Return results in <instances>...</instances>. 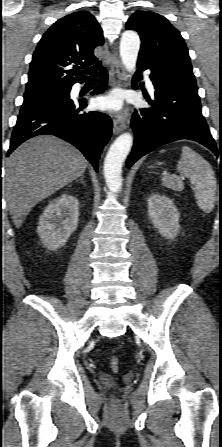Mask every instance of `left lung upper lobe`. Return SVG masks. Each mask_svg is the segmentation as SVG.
Masks as SVG:
<instances>
[{
	"label": "left lung upper lobe",
	"instance_id": "5c2ea615",
	"mask_svg": "<svg viewBox=\"0 0 222 447\" xmlns=\"http://www.w3.org/2000/svg\"><path fill=\"white\" fill-rule=\"evenodd\" d=\"M142 41L138 61L198 94L186 44L169 21L154 12L137 11L126 23Z\"/></svg>",
	"mask_w": 222,
	"mask_h": 447
}]
</instances>
